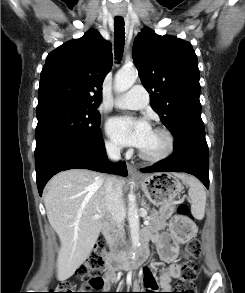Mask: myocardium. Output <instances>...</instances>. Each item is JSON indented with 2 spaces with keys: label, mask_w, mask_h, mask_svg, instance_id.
<instances>
[{
  "label": "myocardium",
  "mask_w": 245,
  "mask_h": 293,
  "mask_svg": "<svg viewBox=\"0 0 245 293\" xmlns=\"http://www.w3.org/2000/svg\"><path fill=\"white\" fill-rule=\"evenodd\" d=\"M155 132L162 133L166 138V148L165 150L158 154V155H148L144 153L142 150L139 151V157L143 159L144 161L148 162H159L162 160L167 159L171 154L173 153L175 149V137L173 133L166 127H156L154 129Z\"/></svg>",
  "instance_id": "myocardium-1"
}]
</instances>
